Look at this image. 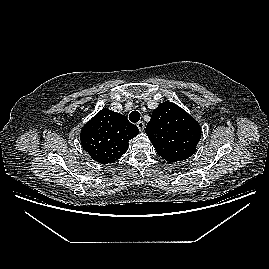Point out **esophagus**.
I'll return each mask as SVG.
<instances>
[{
  "mask_svg": "<svg viewBox=\"0 0 269 269\" xmlns=\"http://www.w3.org/2000/svg\"><path fill=\"white\" fill-rule=\"evenodd\" d=\"M137 127H138V129H139L140 132H143L144 129H145V123L143 121H139L137 123Z\"/></svg>",
  "mask_w": 269,
  "mask_h": 269,
  "instance_id": "1",
  "label": "esophagus"
}]
</instances>
